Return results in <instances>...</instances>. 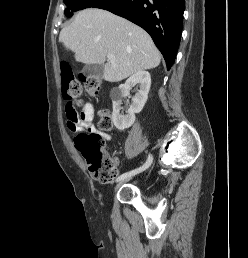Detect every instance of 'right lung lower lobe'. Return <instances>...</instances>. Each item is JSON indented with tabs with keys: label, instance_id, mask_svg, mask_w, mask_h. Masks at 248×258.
Listing matches in <instances>:
<instances>
[{
	"label": "right lung lower lobe",
	"instance_id": "1",
	"mask_svg": "<svg viewBox=\"0 0 248 258\" xmlns=\"http://www.w3.org/2000/svg\"><path fill=\"white\" fill-rule=\"evenodd\" d=\"M184 6L185 0H108L95 8L108 10L146 30L169 70L180 43Z\"/></svg>",
	"mask_w": 248,
	"mask_h": 258
}]
</instances>
